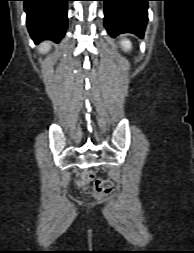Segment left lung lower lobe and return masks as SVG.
I'll return each mask as SVG.
<instances>
[{
	"instance_id": "0a47b994",
	"label": "left lung lower lobe",
	"mask_w": 194,
	"mask_h": 253,
	"mask_svg": "<svg viewBox=\"0 0 194 253\" xmlns=\"http://www.w3.org/2000/svg\"><path fill=\"white\" fill-rule=\"evenodd\" d=\"M104 1V24L111 36L133 33L143 36L148 20V1L152 0H101Z\"/></svg>"
}]
</instances>
